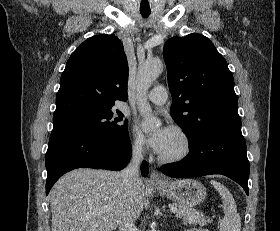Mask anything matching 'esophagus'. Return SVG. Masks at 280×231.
Here are the masks:
<instances>
[{
	"instance_id": "esophagus-1",
	"label": "esophagus",
	"mask_w": 280,
	"mask_h": 231,
	"mask_svg": "<svg viewBox=\"0 0 280 231\" xmlns=\"http://www.w3.org/2000/svg\"><path fill=\"white\" fill-rule=\"evenodd\" d=\"M166 177L160 174L157 170H151L150 181H163Z\"/></svg>"
}]
</instances>
